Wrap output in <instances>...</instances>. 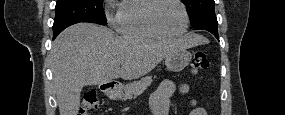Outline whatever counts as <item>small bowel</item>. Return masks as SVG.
<instances>
[{
    "label": "small bowel",
    "mask_w": 285,
    "mask_h": 115,
    "mask_svg": "<svg viewBox=\"0 0 285 115\" xmlns=\"http://www.w3.org/2000/svg\"><path fill=\"white\" fill-rule=\"evenodd\" d=\"M188 84L182 83L180 85L175 84L173 81H164L158 89L153 93L150 100V108L152 115H168L169 103L172 94L175 91L185 93L188 91ZM191 111L190 115H206V111L203 107L197 105L195 100L190 101Z\"/></svg>",
    "instance_id": "obj_1"
}]
</instances>
